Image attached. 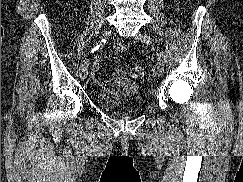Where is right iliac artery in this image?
I'll use <instances>...</instances> for the list:
<instances>
[{"label":"right iliac artery","mask_w":243,"mask_h":182,"mask_svg":"<svg viewBox=\"0 0 243 182\" xmlns=\"http://www.w3.org/2000/svg\"><path fill=\"white\" fill-rule=\"evenodd\" d=\"M107 43V39H103L98 45H96L90 52L91 53H94L95 51H97L99 48H101L102 46H104L105 44Z\"/></svg>","instance_id":"82829eb1"}]
</instances>
